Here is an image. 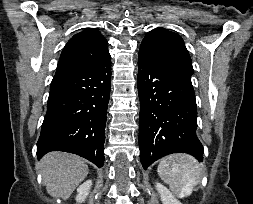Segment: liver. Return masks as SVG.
Returning a JSON list of instances; mask_svg holds the SVG:
<instances>
[{
    "label": "liver",
    "instance_id": "liver-1",
    "mask_svg": "<svg viewBox=\"0 0 253 204\" xmlns=\"http://www.w3.org/2000/svg\"><path fill=\"white\" fill-rule=\"evenodd\" d=\"M39 168L48 194L63 200L71 196L89 171L84 159L60 151L47 153Z\"/></svg>",
    "mask_w": 253,
    "mask_h": 204
}]
</instances>
